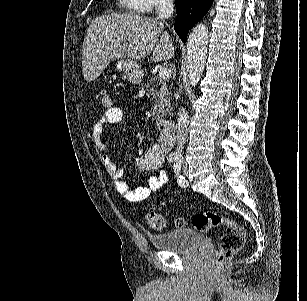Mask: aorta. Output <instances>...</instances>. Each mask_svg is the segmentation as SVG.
Instances as JSON below:
<instances>
[{
    "label": "aorta",
    "mask_w": 307,
    "mask_h": 301,
    "mask_svg": "<svg viewBox=\"0 0 307 301\" xmlns=\"http://www.w3.org/2000/svg\"><path fill=\"white\" fill-rule=\"evenodd\" d=\"M208 38V26L206 24H196L188 36L187 72L188 82L191 86H196L203 74L207 58Z\"/></svg>",
    "instance_id": "1"
}]
</instances>
